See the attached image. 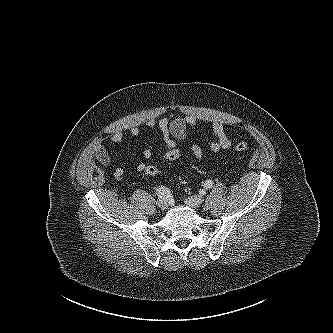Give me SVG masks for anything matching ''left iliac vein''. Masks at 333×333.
I'll list each match as a JSON object with an SVG mask.
<instances>
[{
    "label": "left iliac vein",
    "mask_w": 333,
    "mask_h": 333,
    "mask_svg": "<svg viewBox=\"0 0 333 333\" xmlns=\"http://www.w3.org/2000/svg\"><path fill=\"white\" fill-rule=\"evenodd\" d=\"M185 203L192 208H199L203 203V199L199 196H190L185 200Z\"/></svg>",
    "instance_id": "4c4485c4"
}]
</instances>
